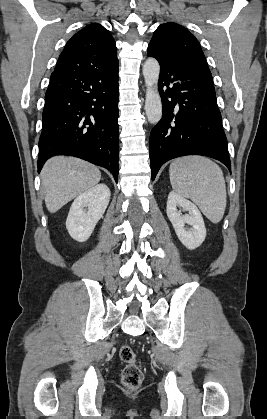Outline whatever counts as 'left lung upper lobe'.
Returning <instances> with one entry per match:
<instances>
[{"label": "left lung upper lobe", "instance_id": "5c2ea615", "mask_svg": "<svg viewBox=\"0 0 267 419\" xmlns=\"http://www.w3.org/2000/svg\"><path fill=\"white\" fill-rule=\"evenodd\" d=\"M148 50L164 60L189 64L210 72L198 40L177 23L161 24L154 32Z\"/></svg>", "mask_w": 267, "mask_h": 419}]
</instances>
